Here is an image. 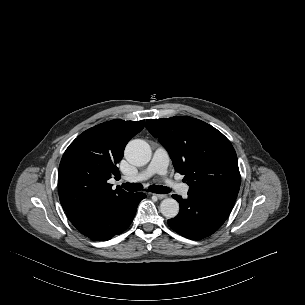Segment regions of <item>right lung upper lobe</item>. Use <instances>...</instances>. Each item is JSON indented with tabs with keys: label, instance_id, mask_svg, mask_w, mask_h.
Instances as JSON below:
<instances>
[{
	"label": "right lung upper lobe",
	"instance_id": "1",
	"mask_svg": "<svg viewBox=\"0 0 305 305\" xmlns=\"http://www.w3.org/2000/svg\"><path fill=\"white\" fill-rule=\"evenodd\" d=\"M142 121L112 120L80 134L66 149L58 171V191L67 215L106 204L127 194L112 190L108 180L118 177L116 164L128 141L144 128Z\"/></svg>",
	"mask_w": 305,
	"mask_h": 305
}]
</instances>
